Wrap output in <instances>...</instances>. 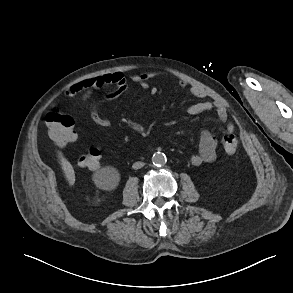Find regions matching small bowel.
Masks as SVG:
<instances>
[{
    "label": "small bowel",
    "instance_id": "small-bowel-1",
    "mask_svg": "<svg viewBox=\"0 0 293 293\" xmlns=\"http://www.w3.org/2000/svg\"><path fill=\"white\" fill-rule=\"evenodd\" d=\"M159 75L157 73L140 74L133 77V81L142 89H149L148 80L155 78ZM178 85L183 88H189L192 95L198 98L207 97V92L198 85H189L185 80L179 79ZM128 80L119 72H112L103 75L90 77L80 81L79 83L69 87L66 90V95L73 96L82 92V98L87 99L95 90H104L103 95L99 101L94 105L91 110V120L94 124L100 127H109L111 121L109 118L102 116L100 113L101 105L114 101L119 98L127 89ZM150 93L155 95L157 89L155 87L150 89ZM216 111L220 121L225 122L228 114L226 108L221 105L210 101H202L190 105L187 108V114L190 116H196L207 111ZM234 126L232 123H228L224 129L225 133H232ZM217 140L215 136L209 130H203L200 133L199 151L193 154L190 158V162L194 166L202 164H208L216 159Z\"/></svg>",
    "mask_w": 293,
    "mask_h": 293
}]
</instances>
